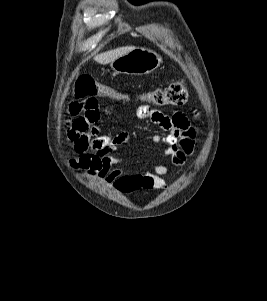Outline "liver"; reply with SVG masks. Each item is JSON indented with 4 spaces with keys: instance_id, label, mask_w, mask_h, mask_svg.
Segmentation results:
<instances>
[{
    "instance_id": "1",
    "label": "liver",
    "mask_w": 267,
    "mask_h": 301,
    "mask_svg": "<svg viewBox=\"0 0 267 301\" xmlns=\"http://www.w3.org/2000/svg\"><path fill=\"white\" fill-rule=\"evenodd\" d=\"M133 49H135V47H133V46L120 47V48L110 50V51L101 53L99 55H96L94 57V60L99 64L106 65L108 63H111L112 61H114L118 57H121V56L129 53Z\"/></svg>"
}]
</instances>
